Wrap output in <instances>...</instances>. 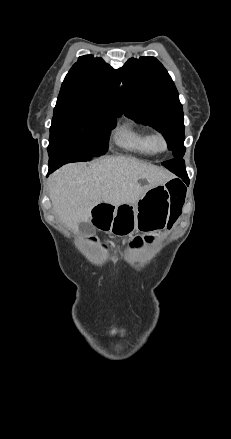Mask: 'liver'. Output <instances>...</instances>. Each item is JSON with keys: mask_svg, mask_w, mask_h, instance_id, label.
Returning a JSON list of instances; mask_svg holds the SVG:
<instances>
[{"mask_svg": "<svg viewBox=\"0 0 231 439\" xmlns=\"http://www.w3.org/2000/svg\"><path fill=\"white\" fill-rule=\"evenodd\" d=\"M167 169L142 161L117 156L92 163L65 165L49 181L54 213L72 231L87 222L91 210L104 202L118 207L135 205L151 188L173 179ZM145 179L147 184L139 181Z\"/></svg>", "mask_w": 231, "mask_h": 439, "instance_id": "1", "label": "liver"}]
</instances>
